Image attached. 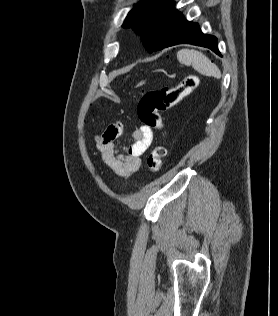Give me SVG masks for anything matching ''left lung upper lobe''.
<instances>
[{"label":"left lung upper lobe","mask_w":278,"mask_h":316,"mask_svg":"<svg viewBox=\"0 0 278 316\" xmlns=\"http://www.w3.org/2000/svg\"><path fill=\"white\" fill-rule=\"evenodd\" d=\"M182 19L173 1L142 0L128 13L122 26L139 33L144 47L151 53L165 47Z\"/></svg>","instance_id":"obj_1"}]
</instances>
